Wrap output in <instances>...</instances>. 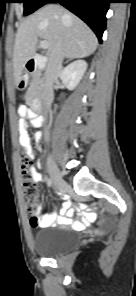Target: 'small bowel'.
I'll return each mask as SVG.
<instances>
[{
	"label": "small bowel",
	"instance_id": "c3829d8e",
	"mask_svg": "<svg viewBox=\"0 0 136 296\" xmlns=\"http://www.w3.org/2000/svg\"><path fill=\"white\" fill-rule=\"evenodd\" d=\"M19 113L22 116L19 120V140L20 143L25 146L26 148V154L28 156H33V153L30 148V131H29V125L25 118H28L31 120V123L34 125L36 120V115L31 112L30 110L26 109L24 106H21L19 108ZM35 126V125H34ZM36 140H40L42 138L41 132H36L34 135ZM37 166L40 168L41 163H37ZM32 173L35 178L36 182H42L43 178L41 173H39L35 168H32ZM93 217V214L90 212H86L82 215L83 220L88 221ZM36 222H32L31 224L33 227H39V228H45L50 227L54 225H74L76 223V220L69 214L68 211H64V213L61 216H56L53 213L45 214L41 216L40 210L36 213Z\"/></svg>",
	"mask_w": 136,
	"mask_h": 296
}]
</instances>
